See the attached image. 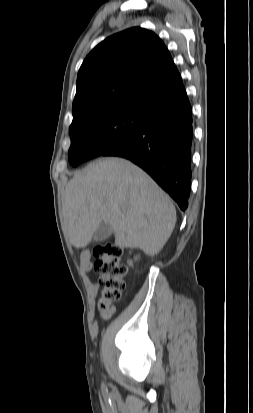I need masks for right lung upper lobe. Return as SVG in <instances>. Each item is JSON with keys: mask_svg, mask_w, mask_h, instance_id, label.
I'll use <instances>...</instances> for the list:
<instances>
[{"mask_svg": "<svg viewBox=\"0 0 253 413\" xmlns=\"http://www.w3.org/2000/svg\"><path fill=\"white\" fill-rule=\"evenodd\" d=\"M186 97L180 73L164 43L153 32L134 27L108 37L83 61L72 105L73 120L110 107L149 112Z\"/></svg>", "mask_w": 253, "mask_h": 413, "instance_id": "cb5924a9", "label": "right lung upper lobe"}]
</instances>
